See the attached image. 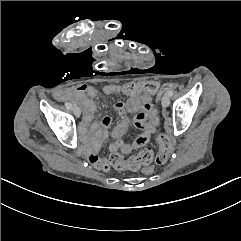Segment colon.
I'll return each mask as SVG.
<instances>
[{"mask_svg": "<svg viewBox=\"0 0 241 241\" xmlns=\"http://www.w3.org/2000/svg\"><path fill=\"white\" fill-rule=\"evenodd\" d=\"M173 85L172 81L164 83L161 88H158V83L156 81H140L133 80L131 84H124L122 86V91L127 95H134L137 91L139 92H147L154 93L156 92L155 101H160L163 98V93ZM181 86L180 82H176L173 85L174 89H177ZM170 155L169 150V138L165 135L160 137V153L159 156L156 157L155 165L158 168H162L165 166V160ZM153 160V149L151 147L144 148L141 150L136 156L126 160L121 154H113L110 157V165L116 169H138L142 166H145L143 170L144 176H149L153 171V166L150 165Z\"/></svg>", "mask_w": 241, "mask_h": 241, "instance_id": "1", "label": "colon"}]
</instances>
